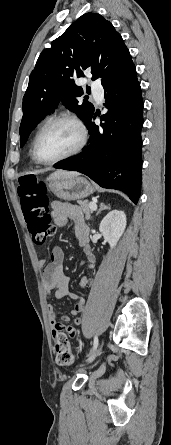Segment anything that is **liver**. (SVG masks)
<instances>
[{"label": "liver", "mask_w": 171, "mask_h": 445, "mask_svg": "<svg viewBox=\"0 0 171 445\" xmlns=\"http://www.w3.org/2000/svg\"><path fill=\"white\" fill-rule=\"evenodd\" d=\"M52 175H54V176H76V175H78V173L59 170V171L54 172Z\"/></svg>", "instance_id": "1"}]
</instances>
